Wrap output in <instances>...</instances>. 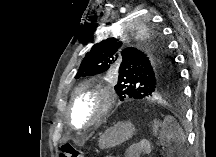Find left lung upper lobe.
Returning a JSON list of instances; mask_svg holds the SVG:
<instances>
[{
  "label": "left lung upper lobe",
  "mask_w": 216,
  "mask_h": 157,
  "mask_svg": "<svg viewBox=\"0 0 216 157\" xmlns=\"http://www.w3.org/2000/svg\"><path fill=\"white\" fill-rule=\"evenodd\" d=\"M128 27H114L119 35L95 44L75 78L107 71L118 74L115 91L120 100L152 99L181 94V76L175 59L152 19H133Z\"/></svg>",
  "instance_id": "5c2ea615"
}]
</instances>
